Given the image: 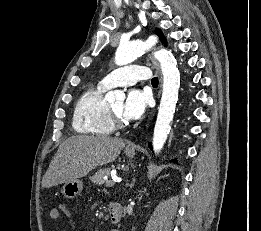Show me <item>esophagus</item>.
Wrapping results in <instances>:
<instances>
[{
	"label": "esophagus",
	"instance_id": "1",
	"mask_svg": "<svg viewBox=\"0 0 261 231\" xmlns=\"http://www.w3.org/2000/svg\"><path fill=\"white\" fill-rule=\"evenodd\" d=\"M150 58H151V60H152V62L154 64V66L156 67V69L159 71L160 68H159V65H158L157 61L152 56H150ZM161 84H162V78L160 77V87H161ZM158 96H159V93H158ZM129 147L134 148L135 146L134 145H129Z\"/></svg>",
	"mask_w": 261,
	"mask_h": 231
}]
</instances>
